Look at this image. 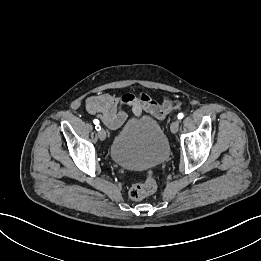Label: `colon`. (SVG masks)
Instances as JSON below:
<instances>
[{
  "label": "colon",
  "mask_w": 261,
  "mask_h": 261,
  "mask_svg": "<svg viewBox=\"0 0 261 261\" xmlns=\"http://www.w3.org/2000/svg\"><path fill=\"white\" fill-rule=\"evenodd\" d=\"M157 188L154 174L151 170L146 173L144 182L134 184L129 190V197L134 201H139L152 194Z\"/></svg>",
  "instance_id": "colon-1"
}]
</instances>
